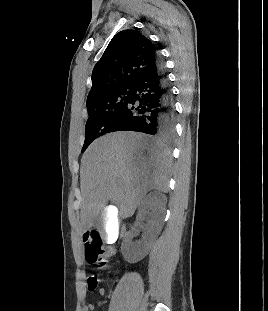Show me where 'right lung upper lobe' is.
I'll use <instances>...</instances> for the list:
<instances>
[{
  "label": "right lung upper lobe",
  "mask_w": 268,
  "mask_h": 311,
  "mask_svg": "<svg viewBox=\"0 0 268 311\" xmlns=\"http://www.w3.org/2000/svg\"><path fill=\"white\" fill-rule=\"evenodd\" d=\"M157 55L152 42L139 31L117 33L93 69L87 107L116 90L132 87L154 65Z\"/></svg>",
  "instance_id": "right-lung-upper-lobe-1"
}]
</instances>
